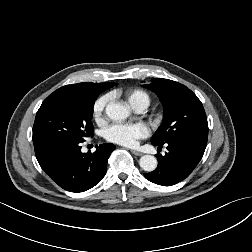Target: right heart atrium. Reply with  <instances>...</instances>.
<instances>
[{"label": "right heart atrium", "mask_w": 252, "mask_h": 252, "mask_svg": "<svg viewBox=\"0 0 252 252\" xmlns=\"http://www.w3.org/2000/svg\"><path fill=\"white\" fill-rule=\"evenodd\" d=\"M107 103L108 96H101L95 101L93 105V117L96 121L102 120Z\"/></svg>", "instance_id": "obj_1"}]
</instances>
